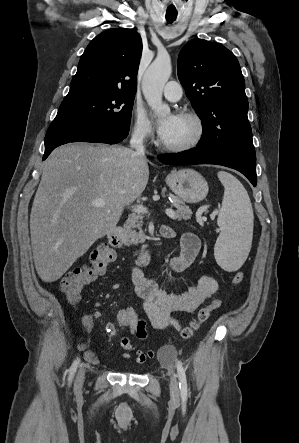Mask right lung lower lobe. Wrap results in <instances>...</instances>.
<instances>
[{
    "instance_id": "1",
    "label": "right lung lower lobe",
    "mask_w": 299,
    "mask_h": 443,
    "mask_svg": "<svg viewBox=\"0 0 299 443\" xmlns=\"http://www.w3.org/2000/svg\"><path fill=\"white\" fill-rule=\"evenodd\" d=\"M130 127L118 124H106L79 128L49 127L45 136V153L43 160L58 146L69 142H95L116 144L123 141Z\"/></svg>"
}]
</instances>
